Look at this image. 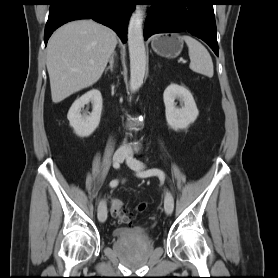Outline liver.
Returning <instances> with one entry per match:
<instances>
[{"mask_svg": "<svg viewBox=\"0 0 278 278\" xmlns=\"http://www.w3.org/2000/svg\"><path fill=\"white\" fill-rule=\"evenodd\" d=\"M117 45L116 33L93 20L69 22L47 45L51 96L59 103L97 82Z\"/></svg>", "mask_w": 278, "mask_h": 278, "instance_id": "liver-1", "label": "liver"}]
</instances>
